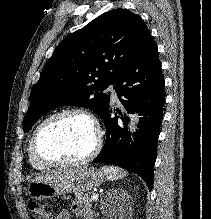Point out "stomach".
I'll list each match as a JSON object with an SVG mask.
<instances>
[{
  "instance_id": "1",
  "label": "stomach",
  "mask_w": 211,
  "mask_h": 219,
  "mask_svg": "<svg viewBox=\"0 0 211 219\" xmlns=\"http://www.w3.org/2000/svg\"><path fill=\"white\" fill-rule=\"evenodd\" d=\"M105 175L93 167L73 169L66 178L53 182H31L28 194L36 200L72 192H87L103 184Z\"/></svg>"
}]
</instances>
